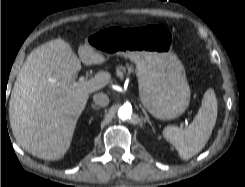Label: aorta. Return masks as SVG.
Masks as SVG:
<instances>
[{
    "instance_id": "obj_1",
    "label": "aorta",
    "mask_w": 245,
    "mask_h": 187,
    "mask_svg": "<svg viewBox=\"0 0 245 187\" xmlns=\"http://www.w3.org/2000/svg\"><path fill=\"white\" fill-rule=\"evenodd\" d=\"M118 116L121 120L130 119L132 116V109L129 106H122L118 110Z\"/></svg>"
}]
</instances>
